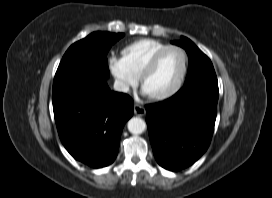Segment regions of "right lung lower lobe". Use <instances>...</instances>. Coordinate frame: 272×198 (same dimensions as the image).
I'll use <instances>...</instances> for the list:
<instances>
[{
	"mask_svg": "<svg viewBox=\"0 0 272 198\" xmlns=\"http://www.w3.org/2000/svg\"><path fill=\"white\" fill-rule=\"evenodd\" d=\"M53 111L61 142L78 161L111 164L124 124L133 115L130 96L111 91L106 79L81 75L53 88Z\"/></svg>",
	"mask_w": 272,
	"mask_h": 198,
	"instance_id": "98d812e1",
	"label": "right lung lower lobe"
}]
</instances>
